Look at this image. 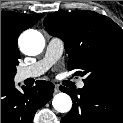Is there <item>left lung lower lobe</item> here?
<instances>
[{"label": "left lung lower lobe", "instance_id": "0a47b994", "mask_svg": "<svg viewBox=\"0 0 123 123\" xmlns=\"http://www.w3.org/2000/svg\"><path fill=\"white\" fill-rule=\"evenodd\" d=\"M60 90L73 99L61 123H123V86L84 83L82 89Z\"/></svg>", "mask_w": 123, "mask_h": 123}]
</instances>
